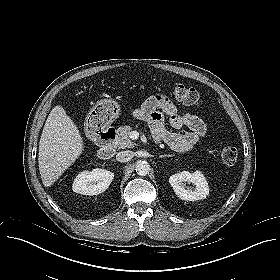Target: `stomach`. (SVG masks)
Wrapping results in <instances>:
<instances>
[{
    "instance_id": "1",
    "label": "stomach",
    "mask_w": 280,
    "mask_h": 280,
    "mask_svg": "<svg viewBox=\"0 0 280 280\" xmlns=\"http://www.w3.org/2000/svg\"><path fill=\"white\" fill-rule=\"evenodd\" d=\"M91 114L90 118H87V122H89L90 119L96 122V119L101 117L107 123H112L120 114V106L114 100L104 99L93 108Z\"/></svg>"
}]
</instances>
